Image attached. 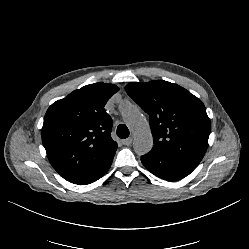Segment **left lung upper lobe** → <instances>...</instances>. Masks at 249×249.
Masks as SVG:
<instances>
[{
	"mask_svg": "<svg viewBox=\"0 0 249 249\" xmlns=\"http://www.w3.org/2000/svg\"><path fill=\"white\" fill-rule=\"evenodd\" d=\"M125 90L150 116L154 146L149 153L198 165L211 130L202 101L179 85L163 80L129 83Z\"/></svg>",
	"mask_w": 249,
	"mask_h": 249,
	"instance_id": "1",
	"label": "left lung upper lobe"
}]
</instances>
